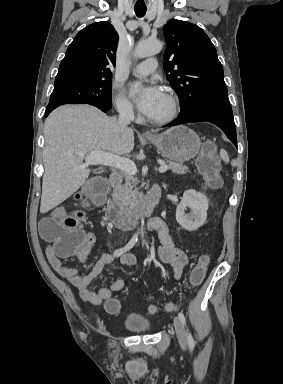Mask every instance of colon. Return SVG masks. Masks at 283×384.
Listing matches in <instances>:
<instances>
[{
  "mask_svg": "<svg viewBox=\"0 0 283 384\" xmlns=\"http://www.w3.org/2000/svg\"><path fill=\"white\" fill-rule=\"evenodd\" d=\"M197 167L211 188L216 189L221 186L217 148L213 142L204 144L197 159ZM107 191V182L102 177H93L82 188L80 202L82 205L99 206L104 202ZM84 220L81 211H73L62 218H46L41 222L40 232L46 240L54 243V249L59 256L68 257L77 254L88 242L89 236L82 229ZM209 261L207 255L199 257L190 273L192 286H199L203 282ZM120 308L121 304L117 299H108L105 302V309L109 313H117ZM168 309L171 307L169 306ZM151 310L154 308L152 307Z\"/></svg>",
  "mask_w": 283,
  "mask_h": 384,
  "instance_id": "5ec220e1",
  "label": "colon"
}]
</instances>
